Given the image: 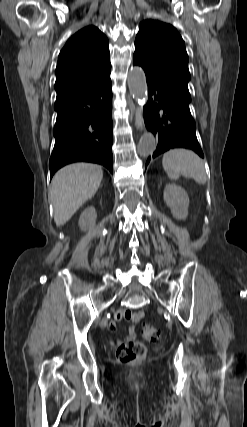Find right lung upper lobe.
Instances as JSON below:
<instances>
[{"label": "right lung upper lobe", "mask_w": 247, "mask_h": 427, "mask_svg": "<svg viewBox=\"0 0 247 427\" xmlns=\"http://www.w3.org/2000/svg\"><path fill=\"white\" fill-rule=\"evenodd\" d=\"M109 42L96 27L73 35L61 50L56 68L57 99L94 88L110 79Z\"/></svg>", "instance_id": "cb5924a9"}]
</instances>
